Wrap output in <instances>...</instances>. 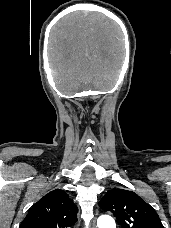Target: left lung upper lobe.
Returning <instances> with one entry per match:
<instances>
[{
  "instance_id": "1",
  "label": "left lung upper lobe",
  "mask_w": 171,
  "mask_h": 228,
  "mask_svg": "<svg viewBox=\"0 0 171 228\" xmlns=\"http://www.w3.org/2000/svg\"><path fill=\"white\" fill-rule=\"evenodd\" d=\"M99 206L111 211L122 228H164L154 209L132 191L113 189Z\"/></svg>"
}]
</instances>
